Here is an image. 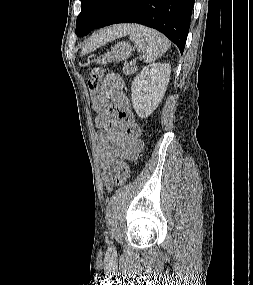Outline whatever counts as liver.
Wrapping results in <instances>:
<instances>
[{
    "instance_id": "obj_1",
    "label": "liver",
    "mask_w": 253,
    "mask_h": 285,
    "mask_svg": "<svg viewBox=\"0 0 253 285\" xmlns=\"http://www.w3.org/2000/svg\"><path fill=\"white\" fill-rule=\"evenodd\" d=\"M136 25L121 24L102 30L99 34L92 36L90 41L85 45L81 54H86L95 50L97 47L104 45L107 42L113 41L116 38L122 37L131 32Z\"/></svg>"
}]
</instances>
